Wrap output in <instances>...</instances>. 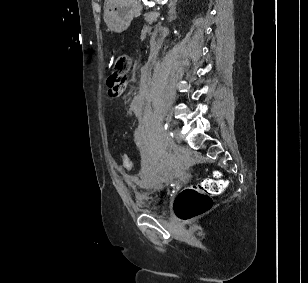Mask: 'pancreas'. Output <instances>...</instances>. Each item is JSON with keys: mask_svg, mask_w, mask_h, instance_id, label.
I'll use <instances>...</instances> for the list:
<instances>
[{"mask_svg": "<svg viewBox=\"0 0 308 283\" xmlns=\"http://www.w3.org/2000/svg\"><path fill=\"white\" fill-rule=\"evenodd\" d=\"M154 13L155 12H149L144 14V19L147 23L152 24L157 21V17Z\"/></svg>", "mask_w": 308, "mask_h": 283, "instance_id": "1", "label": "pancreas"}]
</instances>
